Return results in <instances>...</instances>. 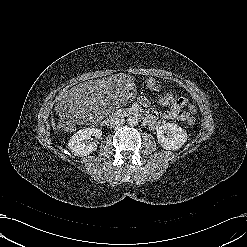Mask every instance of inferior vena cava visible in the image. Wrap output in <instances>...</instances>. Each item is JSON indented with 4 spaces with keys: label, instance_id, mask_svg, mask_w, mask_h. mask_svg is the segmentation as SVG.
Segmentation results:
<instances>
[{
    "label": "inferior vena cava",
    "instance_id": "inferior-vena-cava-1",
    "mask_svg": "<svg viewBox=\"0 0 247 247\" xmlns=\"http://www.w3.org/2000/svg\"><path fill=\"white\" fill-rule=\"evenodd\" d=\"M109 123L111 127H118L125 123V120L123 117H120L117 114H112L109 118Z\"/></svg>",
    "mask_w": 247,
    "mask_h": 247
}]
</instances>
